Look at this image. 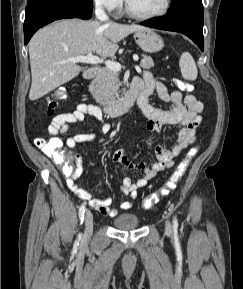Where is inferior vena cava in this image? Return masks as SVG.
<instances>
[{"instance_id": "obj_1", "label": "inferior vena cava", "mask_w": 243, "mask_h": 289, "mask_svg": "<svg viewBox=\"0 0 243 289\" xmlns=\"http://www.w3.org/2000/svg\"><path fill=\"white\" fill-rule=\"evenodd\" d=\"M95 15H96V18L99 19V20L102 21V22L109 21V18H108V16L106 15V13H105V11H104V8H103V5H102L101 2L96 3V6H95Z\"/></svg>"}]
</instances>
